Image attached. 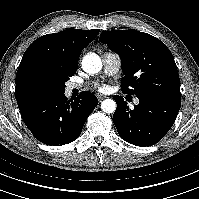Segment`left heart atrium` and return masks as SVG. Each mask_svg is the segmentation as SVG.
Here are the masks:
<instances>
[{
  "label": "left heart atrium",
  "instance_id": "1",
  "mask_svg": "<svg viewBox=\"0 0 199 199\" xmlns=\"http://www.w3.org/2000/svg\"><path fill=\"white\" fill-rule=\"evenodd\" d=\"M96 87H97L100 91L106 90V86H105V85H97Z\"/></svg>",
  "mask_w": 199,
  "mask_h": 199
}]
</instances>
